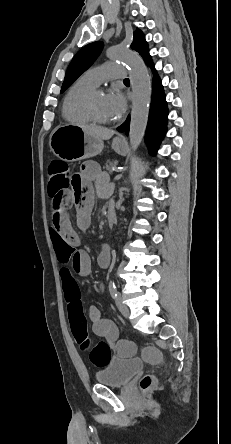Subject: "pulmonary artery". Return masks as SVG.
<instances>
[{"mask_svg": "<svg viewBox=\"0 0 231 444\" xmlns=\"http://www.w3.org/2000/svg\"><path fill=\"white\" fill-rule=\"evenodd\" d=\"M83 76L88 81L98 86L107 80L124 79L126 77V69L115 63H105L101 66L89 69Z\"/></svg>", "mask_w": 231, "mask_h": 444, "instance_id": "pulmonary-artery-1", "label": "pulmonary artery"}]
</instances>
